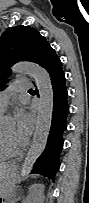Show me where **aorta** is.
Here are the masks:
<instances>
[{
	"label": "aorta",
	"mask_w": 89,
	"mask_h": 203,
	"mask_svg": "<svg viewBox=\"0 0 89 203\" xmlns=\"http://www.w3.org/2000/svg\"><path fill=\"white\" fill-rule=\"evenodd\" d=\"M15 74H27L34 79L39 90V106L32 144L21 166L19 180L31 173L38 157L44 152L52 124L54 93L52 81L46 69L32 62H18L12 66Z\"/></svg>",
	"instance_id": "aorta-1"
}]
</instances>
